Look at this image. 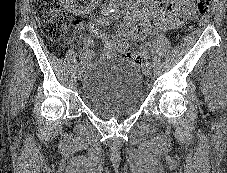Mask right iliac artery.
Instances as JSON below:
<instances>
[{
	"label": "right iliac artery",
	"instance_id": "1",
	"mask_svg": "<svg viewBox=\"0 0 227 173\" xmlns=\"http://www.w3.org/2000/svg\"><path fill=\"white\" fill-rule=\"evenodd\" d=\"M114 14H116L115 12H114V9H110V8H108L106 11H105V15L106 16H113ZM101 20H103V21H105V18H102ZM80 67H82V66H84V62L83 61H80L79 62V64H78Z\"/></svg>",
	"mask_w": 227,
	"mask_h": 173
}]
</instances>
